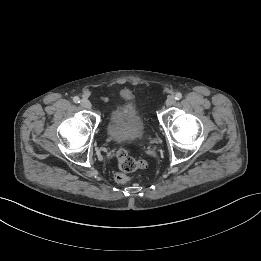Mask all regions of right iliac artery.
Masks as SVG:
<instances>
[{
  "mask_svg": "<svg viewBox=\"0 0 261 261\" xmlns=\"http://www.w3.org/2000/svg\"><path fill=\"white\" fill-rule=\"evenodd\" d=\"M73 101L75 103H80V98L76 96V97L73 98Z\"/></svg>",
  "mask_w": 261,
  "mask_h": 261,
  "instance_id": "1",
  "label": "right iliac artery"
}]
</instances>
